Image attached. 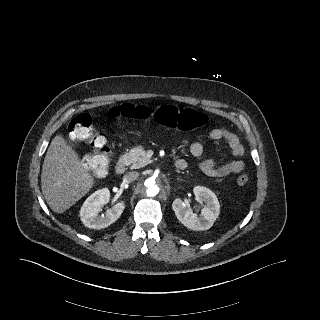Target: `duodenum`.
<instances>
[{
  "mask_svg": "<svg viewBox=\"0 0 320 320\" xmlns=\"http://www.w3.org/2000/svg\"><path fill=\"white\" fill-rule=\"evenodd\" d=\"M174 166L177 170H184L187 166L186 162L182 159L177 160L174 163ZM126 170V164L124 160H119L115 166V171L117 174H123Z\"/></svg>",
  "mask_w": 320,
  "mask_h": 320,
  "instance_id": "1",
  "label": "duodenum"
}]
</instances>
